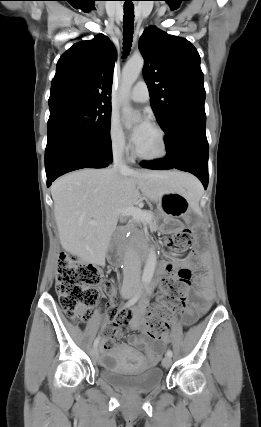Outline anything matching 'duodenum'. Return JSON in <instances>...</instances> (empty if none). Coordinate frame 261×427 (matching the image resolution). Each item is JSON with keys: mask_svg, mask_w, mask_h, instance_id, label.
<instances>
[{"mask_svg": "<svg viewBox=\"0 0 261 427\" xmlns=\"http://www.w3.org/2000/svg\"><path fill=\"white\" fill-rule=\"evenodd\" d=\"M121 236L116 235L113 239L112 250L109 256V263L113 267H120L122 264V258L118 252L120 246Z\"/></svg>", "mask_w": 261, "mask_h": 427, "instance_id": "410a0bca", "label": "duodenum"}]
</instances>
